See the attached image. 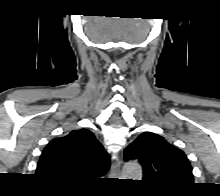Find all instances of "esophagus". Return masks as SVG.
<instances>
[{
	"label": "esophagus",
	"mask_w": 220,
	"mask_h": 196,
	"mask_svg": "<svg viewBox=\"0 0 220 196\" xmlns=\"http://www.w3.org/2000/svg\"><path fill=\"white\" fill-rule=\"evenodd\" d=\"M120 165H121V157H119L116 161L112 163L110 176L111 178L119 179L120 177Z\"/></svg>",
	"instance_id": "obj_1"
}]
</instances>
